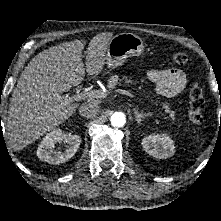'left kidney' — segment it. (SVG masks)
<instances>
[{"label": "left kidney", "mask_w": 221, "mask_h": 221, "mask_svg": "<svg viewBox=\"0 0 221 221\" xmlns=\"http://www.w3.org/2000/svg\"><path fill=\"white\" fill-rule=\"evenodd\" d=\"M143 149L152 157L166 159L175 153L173 140L168 134H153L142 140Z\"/></svg>", "instance_id": "5707ae66"}]
</instances>
